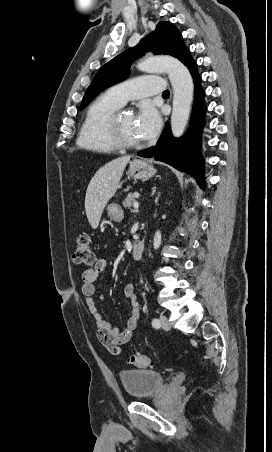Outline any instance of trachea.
I'll use <instances>...</instances> for the list:
<instances>
[{
  "label": "trachea",
  "instance_id": "1",
  "mask_svg": "<svg viewBox=\"0 0 272 452\" xmlns=\"http://www.w3.org/2000/svg\"><path fill=\"white\" fill-rule=\"evenodd\" d=\"M169 94H170L169 90H165V91L162 93V95H169Z\"/></svg>",
  "mask_w": 272,
  "mask_h": 452
}]
</instances>
